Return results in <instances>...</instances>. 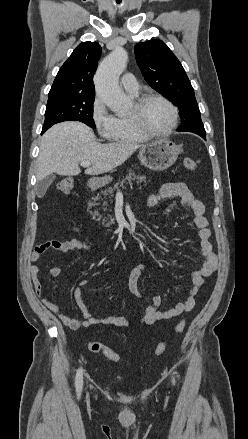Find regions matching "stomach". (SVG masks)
I'll return each instance as SVG.
<instances>
[{
  "label": "stomach",
  "mask_w": 248,
  "mask_h": 439,
  "mask_svg": "<svg viewBox=\"0 0 248 439\" xmlns=\"http://www.w3.org/2000/svg\"><path fill=\"white\" fill-rule=\"evenodd\" d=\"M181 152V147L170 140L160 139L139 149V159L141 163L154 171H163L172 166ZM112 178L110 176L94 177L89 184L92 189H98L108 184Z\"/></svg>",
  "instance_id": "stomach-1"
}]
</instances>
